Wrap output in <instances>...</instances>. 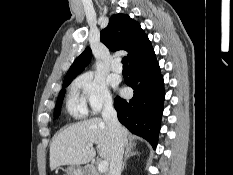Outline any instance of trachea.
<instances>
[{
    "label": "trachea",
    "instance_id": "1",
    "mask_svg": "<svg viewBox=\"0 0 233 175\" xmlns=\"http://www.w3.org/2000/svg\"><path fill=\"white\" fill-rule=\"evenodd\" d=\"M128 58L127 57H123L122 58V64H123V67H128Z\"/></svg>",
    "mask_w": 233,
    "mask_h": 175
}]
</instances>
